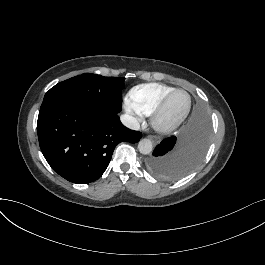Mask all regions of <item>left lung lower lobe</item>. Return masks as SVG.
I'll list each match as a JSON object with an SVG mask.
<instances>
[{"mask_svg": "<svg viewBox=\"0 0 265 265\" xmlns=\"http://www.w3.org/2000/svg\"><path fill=\"white\" fill-rule=\"evenodd\" d=\"M210 137L205 109L196 105L177 136L162 140L146 161L148 171L161 179L174 180L194 170L202 161Z\"/></svg>", "mask_w": 265, "mask_h": 265, "instance_id": "obj_1", "label": "left lung lower lobe"}]
</instances>
